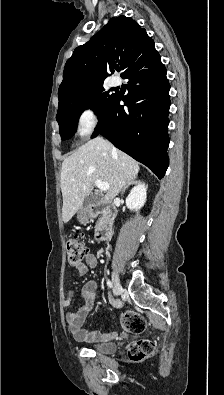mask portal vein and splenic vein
Returning <instances> with one entry per match:
<instances>
[{"mask_svg":"<svg viewBox=\"0 0 224 395\" xmlns=\"http://www.w3.org/2000/svg\"><path fill=\"white\" fill-rule=\"evenodd\" d=\"M95 185L101 190V191H107L109 189V184L106 182H103L102 180H96Z\"/></svg>","mask_w":224,"mask_h":395,"instance_id":"18ae733b","label":"portal vein and splenic vein"}]
</instances>
